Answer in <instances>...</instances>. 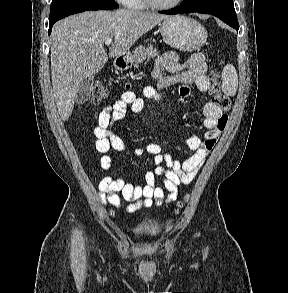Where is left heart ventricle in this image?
Returning <instances> with one entry per match:
<instances>
[{
	"label": "left heart ventricle",
	"mask_w": 288,
	"mask_h": 293,
	"mask_svg": "<svg viewBox=\"0 0 288 293\" xmlns=\"http://www.w3.org/2000/svg\"><path fill=\"white\" fill-rule=\"evenodd\" d=\"M155 1L158 2V3L166 4V3L172 2L173 0H155Z\"/></svg>",
	"instance_id": "left-heart-ventricle-1"
}]
</instances>
